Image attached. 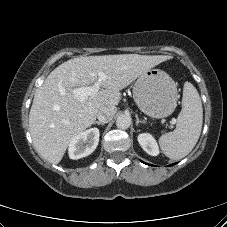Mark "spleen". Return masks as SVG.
<instances>
[{
	"label": "spleen",
	"mask_w": 227,
	"mask_h": 227,
	"mask_svg": "<svg viewBox=\"0 0 227 227\" xmlns=\"http://www.w3.org/2000/svg\"><path fill=\"white\" fill-rule=\"evenodd\" d=\"M202 123L203 108L199 93L190 82H185L182 109L177 117L176 129L159 138L163 153L173 160L187 156L200 137Z\"/></svg>",
	"instance_id": "spleen-1"
}]
</instances>
